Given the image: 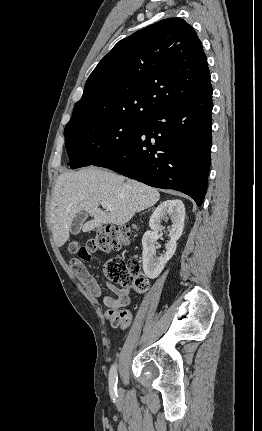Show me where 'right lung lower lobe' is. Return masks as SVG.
Instances as JSON below:
<instances>
[{
    "label": "right lung lower lobe",
    "instance_id": "right-lung-lower-lobe-1",
    "mask_svg": "<svg viewBox=\"0 0 262 431\" xmlns=\"http://www.w3.org/2000/svg\"><path fill=\"white\" fill-rule=\"evenodd\" d=\"M212 86L144 119L134 137L94 163L203 202L211 162Z\"/></svg>",
    "mask_w": 262,
    "mask_h": 431
}]
</instances>
